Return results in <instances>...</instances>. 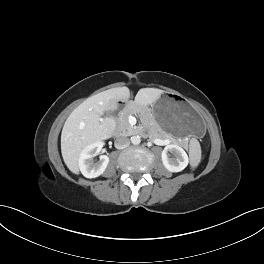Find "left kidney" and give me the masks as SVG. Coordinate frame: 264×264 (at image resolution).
Returning <instances> with one entry per match:
<instances>
[{"label": "left kidney", "instance_id": "5707ae66", "mask_svg": "<svg viewBox=\"0 0 264 264\" xmlns=\"http://www.w3.org/2000/svg\"><path fill=\"white\" fill-rule=\"evenodd\" d=\"M168 152L173 153L175 158L169 157ZM164 167L170 172H180L184 170L188 163L189 158L183 148L176 144L167 145L161 154Z\"/></svg>", "mask_w": 264, "mask_h": 264}]
</instances>
